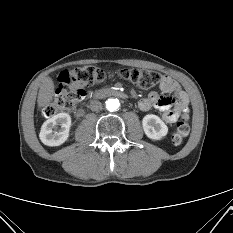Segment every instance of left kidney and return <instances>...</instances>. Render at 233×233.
I'll use <instances>...</instances> for the list:
<instances>
[{"instance_id": "1", "label": "left kidney", "mask_w": 233, "mask_h": 233, "mask_svg": "<svg viewBox=\"0 0 233 233\" xmlns=\"http://www.w3.org/2000/svg\"><path fill=\"white\" fill-rule=\"evenodd\" d=\"M142 125L147 137L153 140H160L168 133L167 125L154 114L144 116Z\"/></svg>"}]
</instances>
